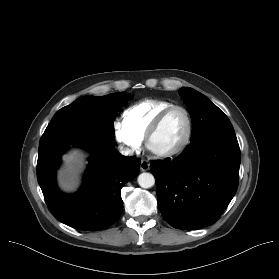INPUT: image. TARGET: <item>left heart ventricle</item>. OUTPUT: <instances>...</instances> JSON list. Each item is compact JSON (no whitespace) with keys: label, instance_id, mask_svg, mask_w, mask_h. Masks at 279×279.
<instances>
[{"label":"left heart ventricle","instance_id":"left-heart-ventricle-1","mask_svg":"<svg viewBox=\"0 0 279 279\" xmlns=\"http://www.w3.org/2000/svg\"><path fill=\"white\" fill-rule=\"evenodd\" d=\"M187 121L181 110H174L165 118L161 127L151 140L157 151H167L176 147L186 133Z\"/></svg>","mask_w":279,"mask_h":279}]
</instances>
